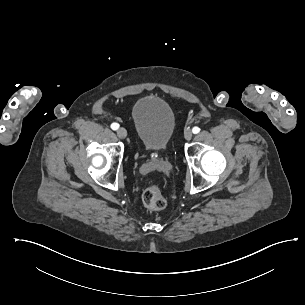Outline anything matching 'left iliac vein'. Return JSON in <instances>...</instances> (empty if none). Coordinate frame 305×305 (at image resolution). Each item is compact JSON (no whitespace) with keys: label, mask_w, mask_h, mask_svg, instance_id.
I'll return each mask as SVG.
<instances>
[{"label":"left iliac vein","mask_w":305,"mask_h":305,"mask_svg":"<svg viewBox=\"0 0 305 305\" xmlns=\"http://www.w3.org/2000/svg\"><path fill=\"white\" fill-rule=\"evenodd\" d=\"M193 134L192 131L190 129L185 130L184 132V137L186 140H190L192 138Z\"/></svg>","instance_id":"obj_1"}]
</instances>
